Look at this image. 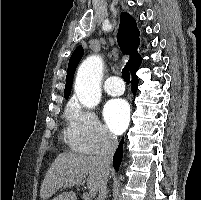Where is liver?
I'll return each instance as SVG.
<instances>
[{
    "label": "liver",
    "mask_w": 201,
    "mask_h": 200,
    "mask_svg": "<svg viewBox=\"0 0 201 200\" xmlns=\"http://www.w3.org/2000/svg\"><path fill=\"white\" fill-rule=\"evenodd\" d=\"M109 171L106 175L108 177ZM87 178L91 196H95L104 180V173L96 157L65 152L59 154L49 167L40 190V197L47 200L66 182H81ZM53 200H77L73 191L62 193Z\"/></svg>",
    "instance_id": "obj_1"
}]
</instances>
